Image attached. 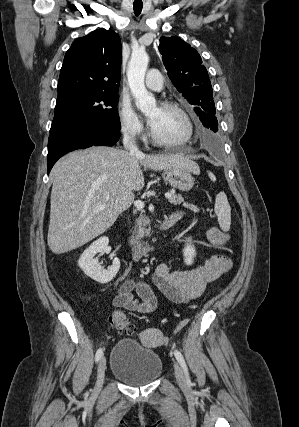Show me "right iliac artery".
Instances as JSON below:
<instances>
[{
    "instance_id": "right-iliac-artery-1",
    "label": "right iliac artery",
    "mask_w": 299,
    "mask_h": 427,
    "mask_svg": "<svg viewBox=\"0 0 299 427\" xmlns=\"http://www.w3.org/2000/svg\"><path fill=\"white\" fill-rule=\"evenodd\" d=\"M102 355H103L102 349H98L97 352H96V356H95L96 362H98L100 360V358L102 357Z\"/></svg>"
}]
</instances>
